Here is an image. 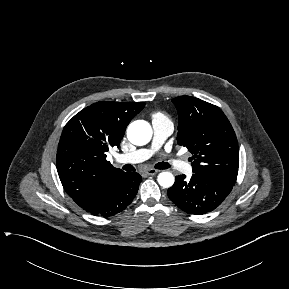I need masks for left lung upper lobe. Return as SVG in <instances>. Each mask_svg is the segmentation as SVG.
Returning <instances> with one entry per match:
<instances>
[{
  "label": "left lung upper lobe",
  "instance_id": "obj_1",
  "mask_svg": "<svg viewBox=\"0 0 289 289\" xmlns=\"http://www.w3.org/2000/svg\"><path fill=\"white\" fill-rule=\"evenodd\" d=\"M172 102L179 114L177 142L193 154V172L234 186L239 148L225 114L219 107L191 96H179Z\"/></svg>",
  "mask_w": 289,
  "mask_h": 289
}]
</instances>
